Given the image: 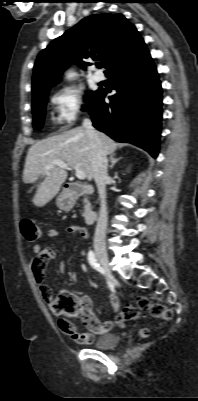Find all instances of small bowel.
Wrapping results in <instances>:
<instances>
[{
  "mask_svg": "<svg viewBox=\"0 0 198 401\" xmlns=\"http://www.w3.org/2000/svg\"><path fill=\"white\" fill-rule=\"evenodd\" d=\"M68 233L73 237H80L82 239L88 238V232L85 228L80 226H69L67 228ZM50 238L58 237L60 232L56 228H50L47 232ZM55 251L51 248L43 247L40 244H36L33 247V255L30 259L29 269L31 271L32 277L39 287L40 294L45 300H49L52 296V290L50 287L45 285L46 280V268L48 264L54 260ZM65 271L64 265L62 263L58 266V272L63 274ZM109 300L114 312H117L120 307L119 296L116 292L111 291L109 293ZM80 304L82 306V320L86 327L89 329L87 333H80L76 331L74 325L66 320L61 319L59 321V327L63 334L68 335L75 339L80 344H90L95 335H101L107 332L112 325L111 321H101L99 320L94 312L92 306V300L90 297L84 295L80 297Z\"/></svg>",
  "mask_w": 198,
  "mask_h": 401,
  "instance_id": "c3829d8e",
  "label": "small bowel"
}]
</instances>
